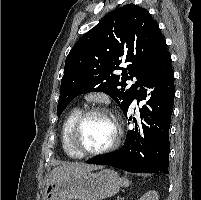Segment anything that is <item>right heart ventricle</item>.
<instances>
[{
  "instance_id": "1",
  "label": "right heart ventricle",
  "mask_w": 201,
  "mask_h": 200,
  "mask_svg": "<svg viewBox=\"0 0 201 200\" xmlns=\"http://www.w3.org/2000/svg\"><path fill=\"white\" fill-rule=\"evenodd\" d=\"M80 113H81V109L78 107L71 109L69 113L67 114L61 128V147L64 154L71 159L79 158L71 149L68 136H69V131L71 129L72 124L74 123L75 119L78 117Z\"/></svg>"
}]
</instances>
